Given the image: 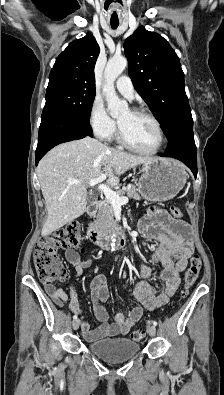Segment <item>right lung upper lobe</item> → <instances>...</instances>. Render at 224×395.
I'll return each instance as SVG.
<instances>
[{
    "label": "right lung upper lobe",
    "instance_id": "cb5924a9",
    "mask_svg": "<svg viewBox=\"0 0 224 395\" xmlns=\"http://www.w3.org/2000/svg\"><path fill=\"white\" fill-rule=\"evenodd\" d=\"M99 53L95 37L87 33L71 42L56 58L49 79L63 78L95 87L94 66Z\"/></svg>",
    "mask_w": 224,
    "mask_h": 395
}]
</instances>
